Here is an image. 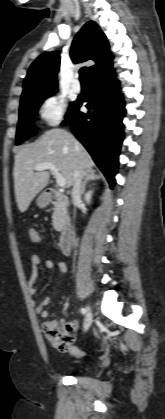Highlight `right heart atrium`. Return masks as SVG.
Listing matches in <instances>:
<instances>
[{
    "instance_id": "obj_1",
    "label": "right heart atrium",
    "mask_w": 165,
    "mask_h": 419,
    "mask_svg": "<svg viewBox=\"0 0 165 419\" xmlns=\"http://www.w3.org/2000/svg\"><path fill=\"white\" fill-rule=\"evenodd\" d=\"M42 121L48 126L59 125L66 116L67 103L60 94H50L45 97L39 109Z\"/></svg>"
}]
</instances>
